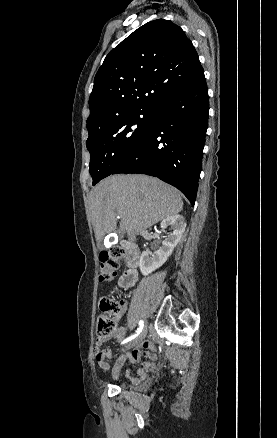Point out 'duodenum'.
Here are the masks:
<instances>
[{"instance_id":"1","label":"duodenum","mask_w":277,"mask_h":438,"mask_svg":"<svg viewBox=\"0 0 277 438\" xmlns=\"http://www.w3.org/2000/svg\"><path fill=\"white\" fill-rule=\"evenodd\" d=\"M122 246L126 250L133 252V257L128 261V269L123 274L121 281H120L121 287L124 289H128V288L132 287L137 280L136 267L138 266V263H139V256H138V252H137V247L133 243L124 242V243H122Z\"/></svg>"}]
</instances>
